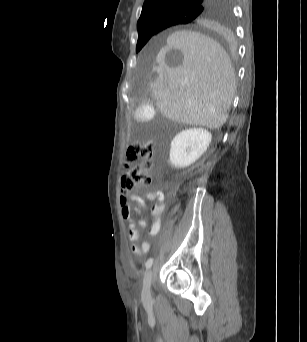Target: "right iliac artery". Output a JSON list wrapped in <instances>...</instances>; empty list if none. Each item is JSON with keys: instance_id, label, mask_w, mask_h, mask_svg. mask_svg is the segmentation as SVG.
Listing matches in <instances>:
<instances>
[{"instance_id": "obj_1", "label": "right iliac artery", "mask_w": 307, "mask_h": 342, "mask_svg": "<svg viewBox=\"0 0 307 342\" xmlns=\"http://www.w3.org/2000/svg\"><path fill=\"white\" fill-rule=\"evenodd\" d=\"M153 264V259L152 258H149L145 264L146 266V269H149Z\"/></svg>"}]
</instances>
